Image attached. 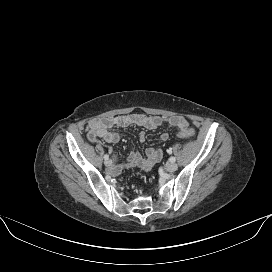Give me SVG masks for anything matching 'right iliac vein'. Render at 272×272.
Masks as SVG:
<instances>
[{
    "label": "right iliac vein",
    "instance_id": "63e3f726",
    "mask_svg": "<svg viewBox=\"0 0 272 272\" xmlns=\"http://www.w3.org/2000/svg\"><path fill=\"white\" fill-rule=\"evenodd\" d=\"M104 163L106 166H110L112 164V162L110 160H106Z\"/></svg>",
    "mask_w": 272,
    "mask_h": 272
}]
</instances>
